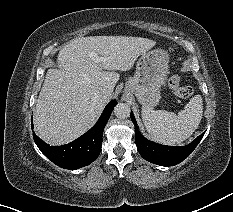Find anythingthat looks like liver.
Here are the masks:
<instances>
[{
    "label": "liver",
    "instance_id": "obj_1",
    "mask_svg": "<svg viewBox=\"0 0 233 212\" xmlns=\"http://www.w3.org/2000/svg\"><path fill=\"white\" fill-rule=\"evenodd\" d=\"M155 41L128 36L78 37L58 54L59 69H48L35 107L37 135L50 145L69 143L86 132L96 121L119 80L115 71L130 70L141 53ZM95 52L106 58L96 63ZM107 70V71H105Z\"/></svg>",
    "mask_w": 233,
    "mask_h": 212
}]
</instances>
